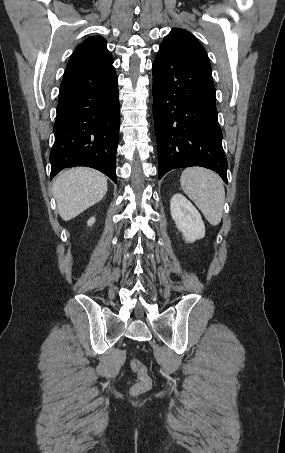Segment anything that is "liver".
Instances as JSON below:
<instances>
[{
    "label": "liver",
    "mask_w": 285,
    "mask_h": 453,
    "mask_svg": "<svg viewBox=\"0 0 285 453\" xmlns=\"http://www.w3.org/2000/svg\"><path fill=\"white\" fill-rule=\"evenodd\" d=\"M107 192V178L101 172L77 167L60 172L53 194L61 218L69 221L98 203Z\"/></svg>",
    "instance_id": "liver-1"
}]
</instances>
